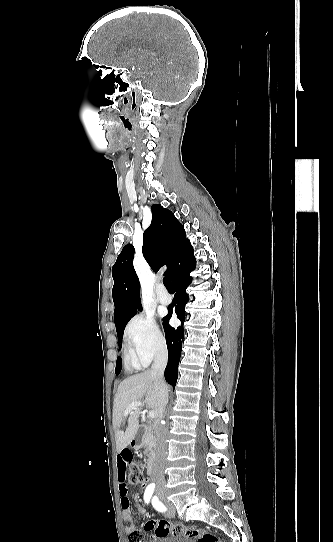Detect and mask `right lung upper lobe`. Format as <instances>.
<instances>
[{
  "instance_id": "cb5924a9",
  "label": "right lung upper lobe",
  "mask_w": 333,
  "mask_h": 542,
  "mask_svg": "<svg viewBox=\"0 0 333 542\" xmlns=\"http://www.w3.org/2000/svg\"><path fill=\"white\" fill-rule=\"evenodd\" d=\"M151 209L152 222L143 234L142 253L154 272L167 265L165 274L170 276L177 254L190 243L184 227L171 211L158 204L152 205ZM134 252L131 244L126 245L112 267L115 322L142 309L140 283L133 267Z\"/></svg>"
}]
</instances>
